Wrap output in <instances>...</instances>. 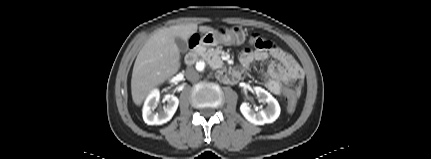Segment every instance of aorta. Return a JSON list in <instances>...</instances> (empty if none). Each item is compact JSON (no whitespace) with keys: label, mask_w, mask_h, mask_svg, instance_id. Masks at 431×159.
I'll return each instance as SVG.
<instances>
[{"label":"aorta","mask_w":431,"mask_h":159,"mask_svg":"<svg viewBox=\"0 0 431 159\" xmlns=\"http://www.w3.org/2000/svg\"><path fill=\"white\" fill-rule=\"evenodd\" d=\"M197 71L205 74L208 71L206 62H197Z\"/></svg>","instance_id":"aorta-1"}]
</instances>
